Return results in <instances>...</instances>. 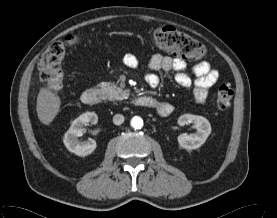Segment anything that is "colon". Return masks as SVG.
Listing matches in <instances>:
<instances>
[{"mask_svg": "<svg viewBox=\"0 0 277 218\" xmlns=\"http://www.w3.org/2000/svg\"><path fill=\"white\" fill-rule=\"evenodd\" d=\"M150 41L160 50L187 59H200L205 54L204 46L195 38L173 27L164 26L153 30ZM79 43L76 35H68L64 40L55 41L41 55L38 68L42 84L53 92H59L63 86L64 75L62 61L68 48ZM234 90L230 85L222 84L215 95L216 106L220 110L227 109L233 99Z\"/></svg>", "mask_w": 277, "mask_h": 218, "instance_id": "5ec220e1", "label": "colon"}]
</instances>
